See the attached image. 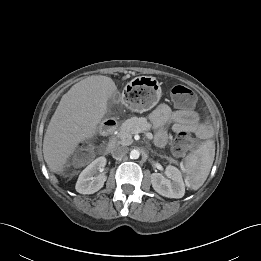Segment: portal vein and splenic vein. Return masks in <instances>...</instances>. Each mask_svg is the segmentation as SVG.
Instances as JSON below:
<instances>
[{
	"label": "portal vein and splenic vein",
	"instance_id": "1",
	"mask_svg": "<svg viewBox=\"0 0 261 261\" xmlns=\"http://www.w3.org/2000/svg\"><path fill=\"white\" fill-rule=\"evenodd\" d=\"M142 132L141 130H138L136 133H140ZM146 136L149 138V139H152L153 138V135L151 133H146Z\"/></svg>",
	"mask_w": 261,
	"mask_h": 261
}]
</instances>
